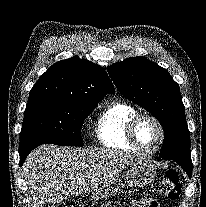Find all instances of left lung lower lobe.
Returning a JSON list of instances; mask_svg holds the SVG:
<instances>
[{
    "label": "left lung lower lobe",
    "mask_w": 206,
    "mask_h": 207,
    "mask_svg": "<svg viewBox=\"0 0 206 207\" xmlns=\"http://www.w3.org/2000/svg\"><path fill=\"white\" fill-rule=\"evenodd\" d=\"M188 174L189 177H191L192 174V170H190L189 168H187L184 164L180 163L179 164Z\"/></svg>",
    "instance_id": "left-lung-lower-lobe-1"
}]
</instances>
